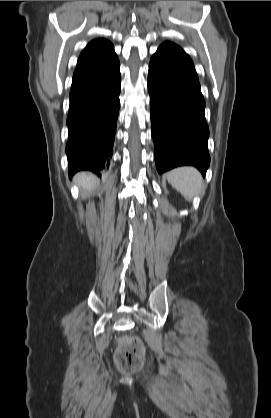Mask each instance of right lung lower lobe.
Wrapping results in <instances>:
<instances>
[{"mask_svg": "<svg viewBox=\"0 0 271 418\" xmlns=\"http://www.w3.org/2000/svg\"><path fill=\"white\" fill-rule=\"evenodd\" d=\"M118 59L84 81L73 85L67 117L69 140L66 152L69 174L108 168L120 108Z\"/></svg>", "mask_w": 271, "mask_h": 418, "instance_id": "obj_1", "label": "right lung lower lobe"}]
</instances>
